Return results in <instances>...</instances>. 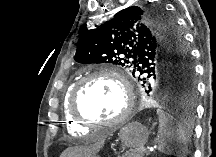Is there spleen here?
I'll return each instance as SVG.
<instances>
[{
	"label": "spleen",
	"mask_w": 216,
	"mask_h": 157,
	"mask_svg": "<svg viewBox=\"0 0 216 157\" xmlns=\"http://www.w3.org/2000/svg\"><path fill=\"white\" fill-rule=\"evenodd\" d=\"M157 115L159 119L158 150L165 155L185 157L189 136L183 121L175 119L161 109L157 110Z\"/></svg>",
	"instance_id": "obj_1"
}]
</instances>
